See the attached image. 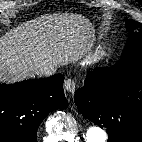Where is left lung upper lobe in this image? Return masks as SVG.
<instances>
[{"label":"left lung upper lobe","instance_id":"5c2ea615","mask_svg":"<svg viewBox=\"0 0 142 142\" xmlns=\"http://www.w3.org/2000/svg\"><path fill=\"white\" fill-rule=\"evenodd\" d=\"M126 29L130 35L116 65H142V24L133 20H126Z\"/></svg>","mask_w":142,"mask_h":142}]
</instances>
